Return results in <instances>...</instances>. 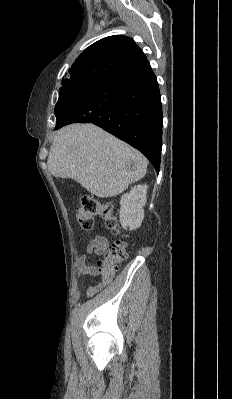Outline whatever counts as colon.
<instances>
[{"label": "colon", "mask_w": 232, "mask_h": 399, "mask_svg": "<svg viewBox=\"0 0 232 399\" xmlns=\"http://www.w3.org/2000/svg\"><path fill=\"white\" fill-rule=\"evenodd\" d=\"M115 204L113 201L105 203L103 207V199H94L85 196L81 199V222L80 227L84 231H93V219H97V213H100V218H106V226L109 230L117 229V210H114ZM74 222H79V211H74ZM96 256H101V251H96ZM129 259V248L124 244H110L108 248V264L105 268L96 269V283H93V290H106V283L113 281V263L114 271H119V260L125 261ZM105 273V274H103Z\"/></svg>", "instance_id": "colon-1"}]
</instances>
